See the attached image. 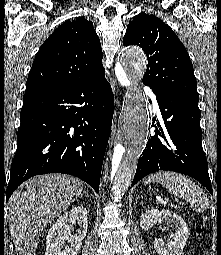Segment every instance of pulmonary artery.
Returning a JSON list of instances; mask_svg holds the SVG:
<instances>
[{
	"label": "pulmonary artery",
	"mask_w": 221,
	"mask_h": 255,
	"mask_svg": "<svg viewBox=\"0 0 221 255\" xmlns=\"http://www.w3.org/2000/svg\"><path fill=\"white\" fill-rule=\"evenodd\" d=\"M146 93H150V92L148 90H146ZM150 94L152 95V98L154 100V106L157 107L158 104H157V101L155 100V96L152 93H150Z\"/></svg>",
	"instance_id": "obj_1"
}]
</instances>
